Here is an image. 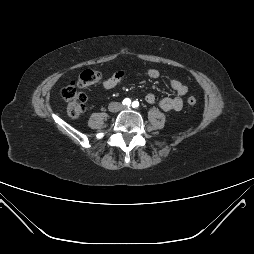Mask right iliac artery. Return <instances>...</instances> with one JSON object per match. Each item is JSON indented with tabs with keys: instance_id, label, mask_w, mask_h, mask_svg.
Wrapping results in <instances>:
<instances>
[{
	"instance_id": "obj_1",
	"label": "right iliac artery",
	"mask_w": 254,
	"mask_h": 254,
	"mask_svg": "<svg viewBox=\"0 0 254 254\" xmlns=\"http://www.w3.org/2000/svg\"><path fill=\"white\" fill-rule=\"evenodd\" d=\"M122 103L125 106H129L131 104V100L129 98H125Z\"/></svg>"
}]
</instances>
